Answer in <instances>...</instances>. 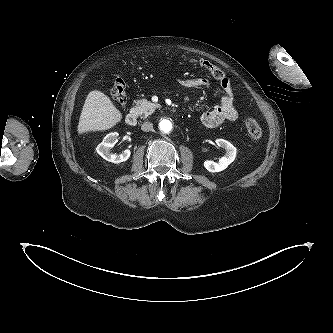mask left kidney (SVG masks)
Segmentation results:
<instances>
[{
	"instance_id": "1",
	"label": "left kidney",
	"mask_w": 333,
	"mask_h": 333,
	"mask_svg": "<svg viewBox=\"0 0 333 333\" xmlns=\"http://www.w3.org/2000/svg\"><path fill=\"white\" fill-rule=\"evenodd\" d=\"M216 144L218 147L225 149L226 154L219 159L218 163L210 160L204 162V167L212 173L225 170L235 160L237 152L235 146L224 139H217Z\"/></svg>"
}]
</instances>
